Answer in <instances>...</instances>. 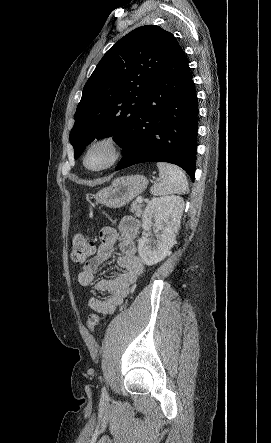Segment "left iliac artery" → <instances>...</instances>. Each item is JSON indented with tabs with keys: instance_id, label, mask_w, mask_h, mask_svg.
<instances>
[{
	"instance_id": "left-iliac-artery-1",
	"label": "left iliac artery",
	"mask_w": 271,
	"mask_h": 443,
	"mask_svg": "<svg viewBox=\"0 0 271 443\" xmlns=\"http://www.w3.org/2000/svg\"><path fill=\"white\" fill-rule=\"evenodd\" d=\"M102 396L107 397V391L105 387L102 388Z\"/></svg>"
}]
</instances>
